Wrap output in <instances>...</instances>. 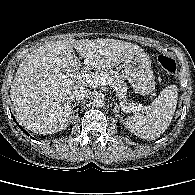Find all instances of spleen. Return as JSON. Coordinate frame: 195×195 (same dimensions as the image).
Returning a JSON list of instances; mask_svg holds the SVG:
<instances>
[{"mask_svg":"<svg viewBox=\"0 0 195 195\" xmlns=\"http://www.w3.org/2000/svg\"><path fill=\"white\" fill-rule=\"evenodd\" d=\"M177 87L170 85L163 89L159 96L141 112L125 121L126 128L139 138L154 140L168 128L177 105Z\"/></svg>","mask_w":195,"mask_h":195,"instance_id":"obj_1","label":"spleen"}]
</instances>
